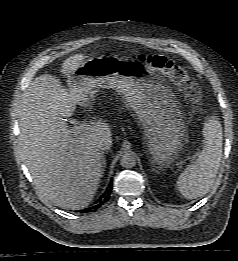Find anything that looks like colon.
Wrapping results in <instances>:
<instances>
[{"label": "colon", "mask_w": 238, "mask_h": 261, "mask_svg": "<svg viewBox=\"0 0 238 261\" xmlns=\"http://www.w3.org/2000/svg\"><path fill=\"white\" fill-rule=\"evenodd\" d=\"M138 58L169 78L191 105L201 104L202 95L198 82L184 67L161 55L140 54Z\"/></svg>", "instance_id": "obj_1"}]
</instances>
